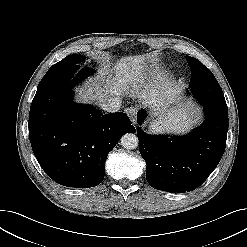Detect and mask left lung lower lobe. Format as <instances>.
<instances>
[{"instance_id": "0a47b994", "label": "left lung lower lobe", "mask_w": 247, "mask_h": 247, "mask_svg": "<svg viewBox=\"0 0 247 247\" xmlns=\"http://www.w3.org/2000/svg\"><path fill=\"white\" fill-rule=\"evenodd\" d=\"M189 92L203 106L205 120L186 136L149 135L137 129L146 178L155 189L173 193L198 188L222 158L228 131V108L212 72L203 67L190 79ZM147 114L137 113L141 125Z\"/></svg>"}]
</instances>
